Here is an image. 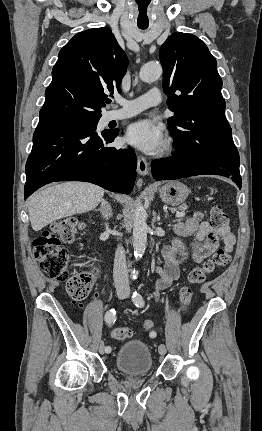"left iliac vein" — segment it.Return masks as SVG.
Here are the masks:
<instances>
[{"label": "left iliac vein", "mask_w": 262, "mask_h": 431, "mask_svg": "<svg viewBox=\"0 0 262 431\" xmlns=\"http://www.w3.org/2000/svg\"><path fill=\"white\" fill-rule=\"evenodd\" d=\"M127 296V295H126ZM125 296V297H126ZM159 354L161 356H164L166 354V346L164 344H161L158 348Z\"/></svg>", "instance_id": "1"}]
</instances>
